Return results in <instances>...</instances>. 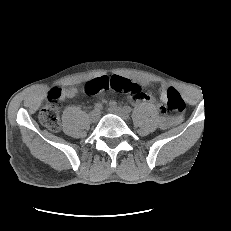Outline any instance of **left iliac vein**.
Wrapping results in <instances>:
<instances>
[{
	"label": "left iliac vein",
	"instance_id": "1",
	"mask_svg": "<svg viewBox=\"0 0 231 231\" xmlns=\"http://www.w3.org/2000/svg\"><path fill=\"white\" fill-rule=\"evenodd\" d=\"M108 110H109V112L118 115L119 117H121L124 120L129 119V114L124 109H122L120 107L111 106Z\"/></svg>",
	"mask_w": 231,
	"mask_h": 231
}]
</instances>
